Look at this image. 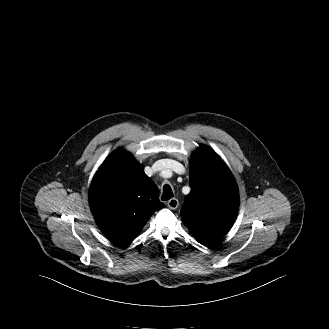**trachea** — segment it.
<instances>
[{"label":"trachea","instance_id":"3493384b","mask_svg":"<svg viewBox=\"0 0 329 329\" xmlns=\"http://www.w3.org/2000/svg\"><path fill=\"white\" fill-rule=\"evenodd\" d=\"M173 197V192L171 187L168 184L163 186L162 200L167 201Z\"/></svg>","mask_w":329,"mask_h":329}]
</instances>
